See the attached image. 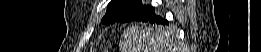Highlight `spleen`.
Returning <instances> with one entry per match:
<instances>
[{
	"instance_id": "obj_1",
	"label": "spleen",
	"mask_w": 261,
	"mask_h": 52,
	"mask_svg": "<svg viewBox=\"0 0 261 52\" xmlns=\"http://www.w3.org/2000/svg\"><path fill=\"white\" fill-rule=\"evenodd\" d=\"M131 35V46L135 52H169L171 44L164 30L160 27L132 26L126 29Z\"/></svg>"
}]
</instances>
